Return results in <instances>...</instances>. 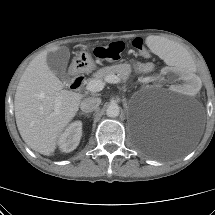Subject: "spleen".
Returning <instances> with one entry per match:
<instances>
[{"mask_svg":"<svg viewBox=\"0 0 215 215\" xmlns=\"http://www.w3.org/2000/svg\"><path fill=\"white\" fill-rule=\"evenodd\" d=\"M146 43L152 52L166 64L179 67L180 70L188 73L194 71L193 60L183 47L166 38L158 39L156 36L148 37Z\"/></svg>","mask_w":215,"mask_h":215,"instance_id":"obj_1","label":"spleen"}]
</instances>
